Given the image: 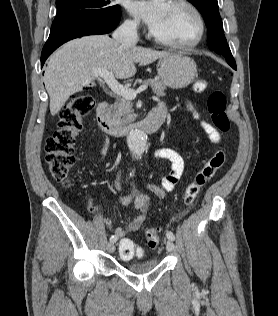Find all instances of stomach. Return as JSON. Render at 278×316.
<instances>
[{
    "label": "stomach",
    "mask_w": 278,
    "mask_h": 316,
    "mask_svg": "<svg viewBox=\"0 0 278 316\" xmlns=\"http://www.w3.org/2000/svg\"><path fill=\"white\" fill-rule=\"evenodd\" d=\"M157 71L163 84L173 89H181L192 83L197 73V65L184 53H167L160 57Z\"/></svg>",
    "instance_id": "obj_1"
}]
</instances>
